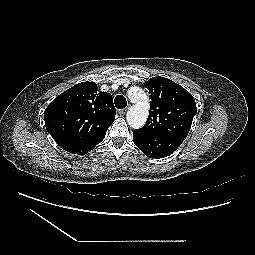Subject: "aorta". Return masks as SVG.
Returning <instances> with one entry per match:
<instances>
[{"mask_svg": "<svg viewBox=\"0 0 255 255\" xmlns=\"http://www.w3.org/2000/svg\"><path fill=\"white\" fill-rule=\"evenodd\" d=\"M128 98L134 103L127 112V122L133 129L141 128L149 113V102L147 94L139 87H131L128 90Z\"/></svg>", "mask_w": 255, "mask_h": 255, "instance_id": "1", "label": "aorta"}]
</instances>
